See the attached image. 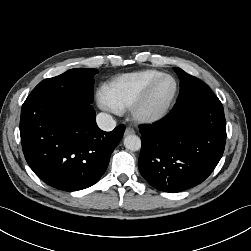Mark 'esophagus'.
Instances as JSON below:
<instances>
[{
  "label": "esophagus",
  "instance_id": "34e87169",
  "mask_svg": "<svg viewBox=\"0 0 251 251\" xmlns=\"http://www.w3.org/2000/svg\"><path fill=\"white\" fill-rule=\"evenodd\" d=\"M134 133H135V131H134L133 128L127 127L126 130H125L124 135H125V136H127V135H132V134H134Z\"/></svg>",
  "mask_w": 251,
  "mask_h": 251
}]
</instances>
